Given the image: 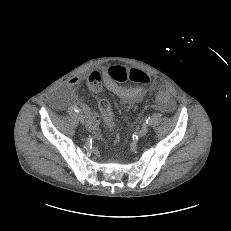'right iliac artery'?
<instances>
[{"instance_id": "82829eb1", "label": "right iliac artery", "mask_w": 231, "mask_h": 231, "mask_svg": "<svg viewBox=\"0 0 231 231\" xmlns=\"http://www.w3.org/2000/svg\"><path fill=\"white\" fill-rule=\"evenodd\" d=\"M71 110H74L75 112H81V109H79L77 106H71Z\"/></svg>"}]
</instances>
